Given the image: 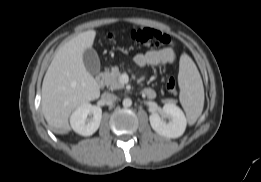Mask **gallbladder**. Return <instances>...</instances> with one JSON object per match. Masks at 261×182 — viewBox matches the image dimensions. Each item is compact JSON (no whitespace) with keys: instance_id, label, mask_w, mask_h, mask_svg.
<instances>
[{"instance_id":"bac80fb5","label":"gallbladder","mask_w":261,"mask_h":182,"mask_svg":"<svg viewBox=\"0 0 261 182\" xmlns=\"http://www.w3.org/2000/svg\"><path fill=\"white\" fill-rule=\"evenodd\" d=\"M83 63L86 70L93 76L100 71V60L97 52L93 48L85 49L83 53Z\"/></svg>"}]
</instances>
